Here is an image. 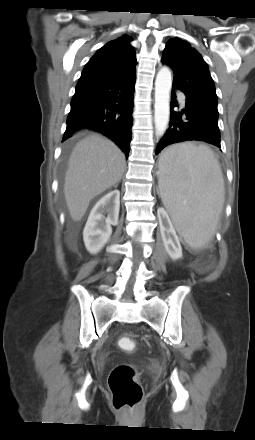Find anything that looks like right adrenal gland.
<instances>
[{
	"label": "right adrenal gland",
	"mask_w": 255,
	"mask_h": 440,
	"mask_svg": "<svg viewBox=\"0 0 255 440\" xmlns=\"http://www.w3.org/2000/svg\"><path fill=\"white\" fill-rule=\"evenodd\" d=\"M118 184H116L114 187L117 188Z\"/></svg>",
	"instance_id": "right-adrenal-gland-1"
}]
</instances>
